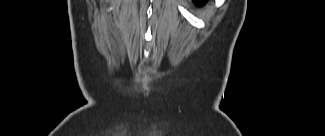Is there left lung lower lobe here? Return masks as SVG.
Masks as SVG:
<instances>
[{
  "label": "left lung lower lobe",
  "mask_w": 325,
  "mask_h": 136,
  "mask_svg": "<svg viewBox=\"0 0 325 136\" xmlns=\"http://www.w3.org/2000/svg\"><path fill=\"white\" fill-rule=\"evenodd\" d=\"M195 1L198 2L199 4L206 2L205 0H195Z\"/></svg>",
  "instance_id": "obj_1"
}]
</instances>
